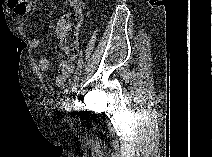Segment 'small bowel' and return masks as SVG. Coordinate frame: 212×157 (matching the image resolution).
I'll return each mask as SVG.
<instances>
[{
  "label": "small bowel",
  "mask_w": 212,
  "mask_h": 157,
  "mask_svg": "<svg viewBox=\"0 0 212 157\" xmlns=\"http://www.w3.org/2000/svg\"><path fill=\"white\" fill-rule=\"evenodd\" d=\"M8 7L13 10V12L19 16H23L28 11V2L24 0H8ZM67 28V22L62 17L58 19L56 24V35L57 37ZM41 41L39 38H33L31 40V47L36 49L40 46ZM50 67V61L47 57H41L38 60V69L41 73H46ZM74 71V63L72 60H64L59 65V72L53 78L52 84L56 88H61L65 85L67 79Z\"/></svg>",
  "instance_id": "small-bowel-1"
}]
</instances>
